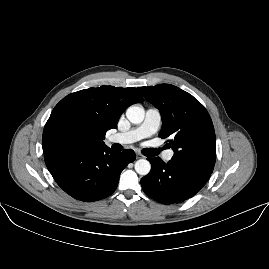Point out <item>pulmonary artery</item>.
Listing matches in <instances>:
<instances>
[{
  "instance_id": "e3ab8cb5",
  "label": "pulmonary artery",
  "mask_w": 269,
  "mask_h": 269,
  "mask_svg": "<svg viewBox=\"0 0 269 269\" xmlns=\"http://www.w3.org/2000/svg\"><path fill=\"white\" fill-rule=\"evenodd\" d=\"M161 123V114L157 108H148L145 117L140 126L124 133H118L108 138V143H117L122 145L132 144L141 139L153 136L159 129ZM173 151L165 152L163 159L171 160Z\"/></svg>"
}]
</instances>
